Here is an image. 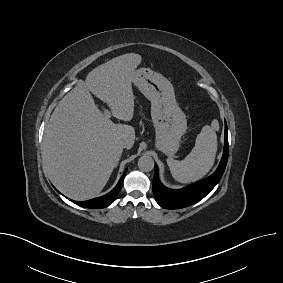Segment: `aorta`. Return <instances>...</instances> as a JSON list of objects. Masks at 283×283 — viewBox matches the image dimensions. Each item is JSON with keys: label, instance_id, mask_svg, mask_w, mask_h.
<instances>
[{"label": "aorta", "instance_id": "1", "mask_svg": "<svg viewBox=\"0 0 283 283\" xmlns=\"http://www.w3.org/2000/svg\"><path fill=\"white\" fill-rule=\"evenodd\" d=\"M138 168L141 171L149 172L154 168V160L148 155H143L138 160Z\"/></svg>", "mask_w": 283, "mask_h": 283}]
</instances>
